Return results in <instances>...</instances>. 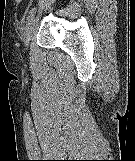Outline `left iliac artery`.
Masks as SVG:
<instances>
[{
  "label": "left iliac artery",
  "mask_w": 135,
  "mask_h": 161,
  "mask_svg": "<svg viewBox=\"0 0 135 161\" xmlns=\"http://www.w3.org/2000/svg\"><path fill=\"white\" fill-rule=\"evenodd\" d=\"M35 11H36V7H33L30 10V12H29V14L27 16V21H31L33 19L34 15H35Z\"/></svg>",
  "instance_id": "44dca946"
}]
</instances>
